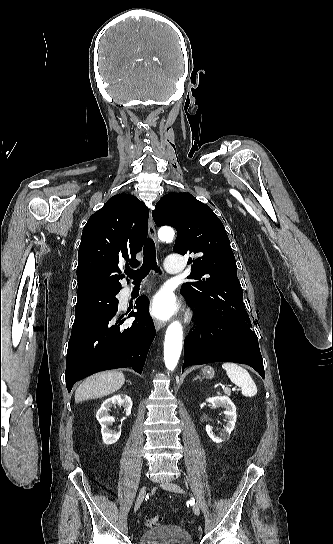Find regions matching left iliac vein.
<instances>
[{
	"mask_svg": "<svg viewBox=\"0 0 333 544\" xmlns=\"http://www.w3.org/2000/svg\"><path fill=\"white\" fill-rule=\"evenodd\" d=\"M160 486L162 488H164L165 490H168V491H172V492H176V493H183V489L179 485H177L175 483H172V482H169V481L161 483ZM193 512L197 516L200 514V508H199L198 504H196V503L193 505Z\"/></svg>",
	"mask_w": 333,
	"mask_h": 544,
	"instance_id": "left-iliac-vein-1",
	"label": "left iliac vein"
}]
</instances>
